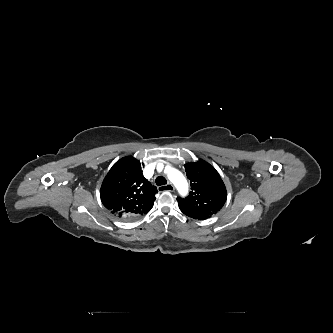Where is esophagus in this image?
Instances as JSON below:
<instances>
[{"mask_svg":"<svg viewBox=\"0 0 333 333\" xmlns=\"http://www.w3.org/2000/svg\"><path fill=\"white\" fill-rule=\"evenodd\" d=\"M159 190H165V191H174V186L171 183L166 184L165 186L159 187Z\"/></svg>","mask_w":333,"mask_h":333,"instance_id":"34e87169","label":"esophagus"}]
</instances>
